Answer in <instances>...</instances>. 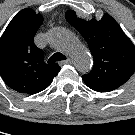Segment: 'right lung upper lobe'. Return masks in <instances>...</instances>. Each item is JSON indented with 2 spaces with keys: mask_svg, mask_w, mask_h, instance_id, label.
<instances>
[{
  "mask_svg": "<svg viewBox=\"0 0 135 135\" xmlns=\"http://www.w3.org/2000/svg\"><path fill=\"white\" fill-rule=\"evenodd\" d=\"M43 16L34 10H21L11 20L0 39V75L11 89L36 94L46 89L58 75L57 63H45L44 53L34 44Z\"/></svg>",
  "mask_w": 135,
  "mask_h": 135,
  "instance_id": "cb5924a9",
  "label": "right lung upper lobe"
}]
</instances>
